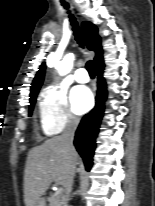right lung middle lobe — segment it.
Instances as JSON below:
<instances>
[{
  "instance_id": "dd1d6c3e",
  "label": "right lung middle lobe",
  "mask_w": 155,
  "mask_h": 206,
  "mask_svg": "<svg viewBox=\"0 0 155 206\" xmlns=\"http://www.w3.org/2000/svg\"><path fill=\"white\" fill-rule=\"evenodd\" d=\"M36 96H33V97H30V105H29V116H31L32 114V111H33V107H34V104H35V101H36Z\"/></svg>"
}]
</instances>
